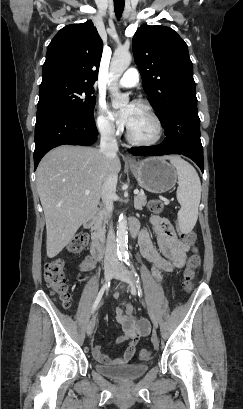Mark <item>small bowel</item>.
Instances as JSON below:
<instances>
[{"instance_id": "1", "label": "small bowel", "mask_w": 243, "mask_h": 409, "mask_svg": "<svg viewBox=\"0 0 243 409\" xmlns=\"http://www.w3.org/2000/svg\"><path fill=\"white\" fill-rule=\"evenodd\" d=\"M150 223L156 234L157 247L154 246L149 232L146 229H139L137 222L132 221L131 228L137 233L142 255L152 264L154 278L160 281L163 272L170 273L185 265L189 246L179 239L167 219L152 216ZM95 266L93 259L86 257L80 265V270L87 272ZM119 297L120 292H116L114 298ZM132 312L133 306L128 302H123L116 309V319L122 327V333L116 338L115 344L127 342L125 351L120 356L112 358L107 356L98 344H93L91 351L96 361L123 365L133 357L139 338L148 332V325L145 321L136 320Z\"/></svg>"}]
</instances>
